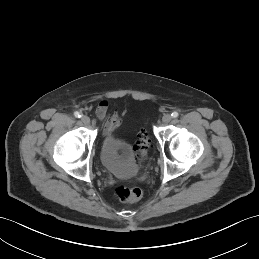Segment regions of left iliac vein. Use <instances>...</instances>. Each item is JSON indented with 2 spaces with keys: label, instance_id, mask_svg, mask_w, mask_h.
I'll return each instance as SVG.
<instances>
[{
  "label": "left iliac vein",
  "instance_id": "1",
  "mask_svg": "<svg viewBox=\"0 0 259 259\" xmlns=\"http://www.w3.org/2000/svg\"><path fill=\"white\" fill-rule=\"evenodd\" d=\"M172 117L169 114H165L162 118L164 124H168L171 121Z\"/></svg>",
  "mask_w": 259,
  "mask_h": 259
}]
</instances>
